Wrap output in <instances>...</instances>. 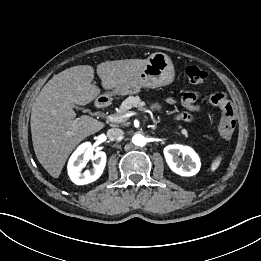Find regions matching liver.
<instances>
[{
	"label": "liver",
	"instance_id": "liver-1",
	"mask_svg": "<svg viewBox=\"0 0 261 261\" xmlns=\"http://www.w3.org/2000/svg\"><path fill=\"white\" fill-rule=\"evenodd\" d=\"M147 59L106 61L97 65L104 89L133 79ZM94 69L89 65L68 68L50 79L32 106L31 133L36 157L43 168L58 178L72 150L86 137L100 131L104 124L90 116L76 118L73 108L87 105L100 94L92 84Z\"/></svg>",
	"mask_w": 261,
	"mask_h": 261
}]
</instances>
